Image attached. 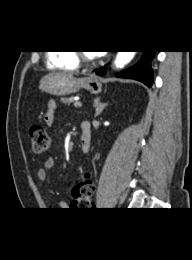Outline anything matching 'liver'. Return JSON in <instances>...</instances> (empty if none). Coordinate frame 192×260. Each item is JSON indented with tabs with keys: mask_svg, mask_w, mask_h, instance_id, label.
<instances>
[{
	"mask_svg": "<svg viewBox=\"0 0 192 260\" xmlns=\"http://www.w3.org/2000/svg\"><path fill=\"white\" fill-rule=\"evenodd\" d=\"M60 75L68 76V77H73L72 74H67V73H59Z\"/></svg>",
	"mask_w": 192,
	"mask_h": 260,
	"instance_id": "6515ba94",
	"label": "liver"
}]
</instances>
